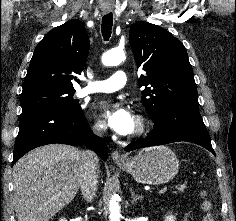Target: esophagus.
<instances>
[{"instance_id":"obj_1","label":"esophagus","mask_w":236,"mask_h":221,"mask_svg":"<svg viewBox=\"0 0 236 221\" xmlns=\"http://www.w3.org/2000/svg\"><path fill=\"white\" fill-rule=\"evenodd\" d=\"M109 10H105L104 13H108ZM112 160L116 163H121L125 161V157L117 150L113 151L111 154Z\"/></svg>"}]
</instances>
